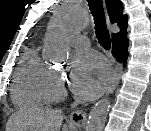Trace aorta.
Segmentation results:
<instances>
[{"label":"aorta","mask_w":151,"mask_h":131,"mask_svg":"<svg viewBox=\"0 0 151 131\" xmlns=\"http://www.w3.org/2000/svg\"><path fill=\"white\" fill-rule=\"evenodd\" d=\"M81 27L82 21L73 7L64 6L55 17L46 36L44 51L46 58L52 61H60L66 58L68 48L64 33L69 30H79ZM110 104L109 98H103L94 104L88 116L86 131H103Z\"/></svg>","instance_id":"obj_1"}]
</instances>
